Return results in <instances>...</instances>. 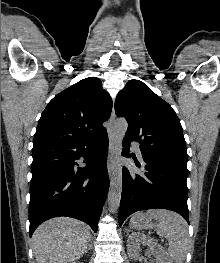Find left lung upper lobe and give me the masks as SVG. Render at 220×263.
Masks as SVG:
<instances>
[{
    "mask_svg": "<svg viewBox=\"0 0 220 263\" xmlns=\"http://www.w3.org/2000/svg\"><path fill=\"white\" fill-rule=\"evenodd\" d=\"M115 112L128 122L126 139L140 143L149 156L187 170L182 126L172 107L140 80H130L115 101Z\"/></svg>",
    "mask_w": 220,
    "mask_h": 263,
    "instance_id": "obj_1",
    "label": "left lung upper lobe"
}]
</instances>
